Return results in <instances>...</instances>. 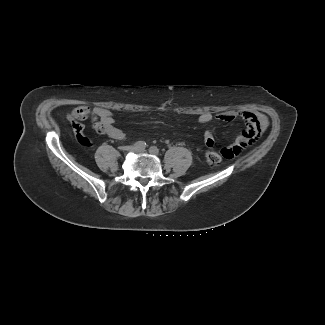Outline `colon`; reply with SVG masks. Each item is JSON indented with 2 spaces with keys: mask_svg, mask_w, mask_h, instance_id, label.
<instances>
[{
  "mask_svg": "<svg viewBox=\"0 0 325 325\" xmlns=\"http://www.w3.org/2000/svg\"><path fill=\"white\" fill-rule=\"evenodd\" d=\"M205 158L211 167H218L221 163V157L215 151H211V150L206 151Z\"/></svg>",
  "mask_w": 325,
  "mask_h": 325,
  "instance_id": "1",
  "label": "colon"
}]
</instances>
